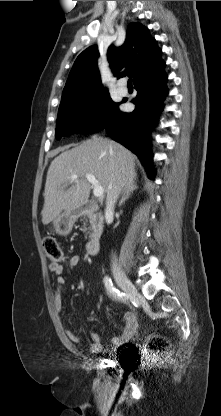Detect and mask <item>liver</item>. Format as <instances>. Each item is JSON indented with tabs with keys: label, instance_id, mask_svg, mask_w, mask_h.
Instances as JSON below:
<instances>
[{
	"label": "liver",
	"instance_id": "obj_1",
	"mask_svg": "<svg viewBox=\"0 0 221 416\" xmlns=\"http://www.w3.org/2000/svg\"><path fill=\"white\" fill-rule=\"evenodd\" d=\"M73 174L78 178L72 180ZM86 174H93L107 195L113 185L119 193L126 192L136 178L135 156L117 142L93 136L55 157L45 183L41 212L44 225L52 222L63 210L71 211L87 202L91 186ZM68 184L71 187L65 189Z\"/></svg>",
	"mask_w": 221,
	"mask_h": 416
}]
</instances>
